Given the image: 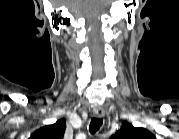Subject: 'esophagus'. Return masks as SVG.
<instances>
[{"mask_svg": "<svg viewBox=\"0 0 179 139\" xmlns=\"http://www.w3.org/2000/svg\"><path fill=\"white\" fill-rule=\"evenodd\" d=\"M93 114L97 118H102L105 115V111L103 109H94Z\"/></svg>", "mask_w": 179, "mask_h": 139, "instance_id": "34e87169", "label": "esophagus"}]
</instances>
